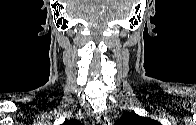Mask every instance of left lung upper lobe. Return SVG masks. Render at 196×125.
Returning a JSON list of instances; mask_svg holds the SVG:
<instances>
[{"label":"left lung upper lobe","instance_id":"1","mask_svg":"<svg viewBox=\"0 0 196 125\" xmlns=\"http://www.w3.org/2000/svg\"><path fill=\"white\" fill-rule=\"evenodd\" d=\"M121 125H158L159 123L150 118L142 117L136 113H128L118 121Z\"/></svg>","mask_w":196,"mask_h":125}]
</instances>
